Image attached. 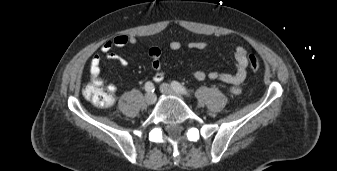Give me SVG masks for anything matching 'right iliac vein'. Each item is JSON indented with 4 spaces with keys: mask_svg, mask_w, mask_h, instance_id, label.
<instances>
[{
    "mask_svg": "<svg viewBox=\"0 0 337 171\" xmlns=\"http://www.w3.org/2000/svg\"><path fill=\"white\" fill-rule=\"evenodd\" d=\"M157 100V97L154 93H148L145 95V101L149 105H153Z\"/></svg>",
    "mask_w": 337,
    "mask_h": 171,
    "instance_id": "63e3f726",
    "label": "right iliac vein"
}]
</instances>
